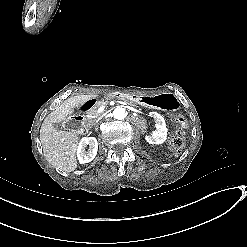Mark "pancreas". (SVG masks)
Segmentation results:
<instances>
[{"label":"pancreas","instance_id":"cf45deb5","mask_svg":"<svg viewBox=\"0 0 247 247\" xmlns=\"http://www.w3.org/2000/svg\"><path fill=\"white\" fill-rule=\"evenodd\" d=\"M107 101H109V98H105L103 101L97 103L94 107H92L88 112H87V117L89 119L97 118L99 117L102 113H98V108L105 104Z\"/></svg>","mask_w":247,"mask_h":247}]
</instances>
